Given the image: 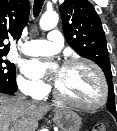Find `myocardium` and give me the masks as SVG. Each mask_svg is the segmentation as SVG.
<instances>
[{
  "label": "myocardium",
  "mask_w": 117,
  "mask_h": 131,
  "mask_svg": "<svg viewBox=\"0 0 117 131\" xmlns=\"http://www.w3.org/2000/svg\"><path fill=\"white\" fill-rule=\"evenodd\" d=\"M75 65H86L90 67L96 73L101 85V96H100L99 101L92 105H86V104L80 103L78 101L72 100L66 97L65 95H63L56 85L54 86V89H53L54 97L64 104L73 106L81 110L95 111V110L100 109L101 107L105 105L108 98V85L101 68L94 62L87 59H82V58H74V59L66 60L63 64V67H72Z\"/></svg>",
  "instance_id": "f54148a6"
}]
</instances>
